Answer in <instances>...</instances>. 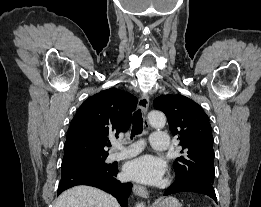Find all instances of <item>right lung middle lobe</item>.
<instances>
[{"mask_svg": "<svg viewBox=\"0 0 261 207\" xmlns=\"http://www.w3.org/2000/svg\"><path fill=\"white\" fill-rule=\"evenodd\" d=\"M107 156H88L80 157L71 160L62 161V173L80 170V169H94L105 168L108 164L105 163Z\"/></svg>", "mask_w": 261, "mask_h": 207, "instance_id": "right-lung-middle-lobe-1", "label": "right lung middle lobe"}]
</instances>
